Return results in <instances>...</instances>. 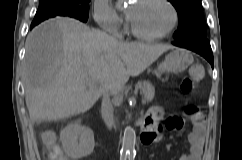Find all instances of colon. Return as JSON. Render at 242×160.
Returning a JSON list of instances; mask_svg holds the SVG:
<instances>
[{
    "label": "colon",
    "instance_id": "1",
    "mask_svg": "<svg viewBox=\"0 0 242 160\" xmlns=\"http://www.w3.org/2000/svg\"><path fill=\"white\" fill-rule=\"evenodd\" d=\"M204 76V69L200 64H193L189 70V76H187L181 83V91L184 94H191L195 91L198 82ZM189 116H197L198 111L195 108H191L187 111ZM44 140L48 144H53L55 136L51 133H47L44 136ZM52 160H64V155L62 154L59 147L54 146L50 152Z\"/></svg>",
    "mask_w": 242,
    "mask_h": 160
}]
</instances>
